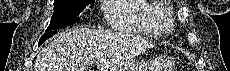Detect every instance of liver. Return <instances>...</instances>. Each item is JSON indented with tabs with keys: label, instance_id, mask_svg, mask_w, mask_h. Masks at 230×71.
<instances>
[{
	"label": "liver",
	"instance_id": "6515ba94",
	"mask_svg": "<svg viewBox=\"0 0 230 71\" xmlns=\"http://www.w3.org/2000/svg\"><path fill=\"white\" fill-rule=\"evenodd\" d=\"M153 44L123 32L73 28L49 39L35 62V71H88L95 62L99 71H119Z\"/></svg>",
	"mask_w": 230,
	"mask_h": 71
}]
</instances>
